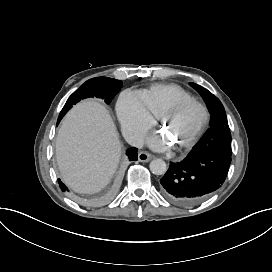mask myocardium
<instances>
[{"label":"myocardium","instance_id":"f54148a6","mask_svg":"<svg viewBox=\"0 0 272 272\" xmlns=\"http://www.w3.org/2000/svg\"><path fill=\"white\" fill-rule=\"evenodd\" d=\"M190 108H197L200 112V118L197 125L192 130L191 134L189 135V137L183 142V146L185 148L191 146L196 141L197 137L199 136L202 129L204 128L208 118V112L206 107L200 102H197L195 100L176 99L172 101L170 104H168L167 107L162 111L160 115L161 121L164 123L165 117L168 113H179L182 111H186Z\"/></svg>","mask_w":272,"mask_h":272}]
</instances>
